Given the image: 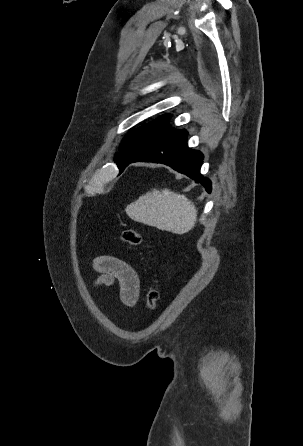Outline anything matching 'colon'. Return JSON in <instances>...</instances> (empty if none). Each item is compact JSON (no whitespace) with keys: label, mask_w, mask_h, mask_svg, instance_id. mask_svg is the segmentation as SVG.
<instances>
[{"label":"colon","mask_w":303,"mask_h":446,"mask_svg":"<svg viewBox=\"0 0 303 446\" xmlns=\"http://www.w3.org/2000/svg\"><path fill=\"white\" fill-rule=\"evenodd\" d=\"M121 239L124 243L130 246H138L142 242L141 235L133 229H125L121 234ZM159 301V290L157 281L155 280L149 287L146 294V306L153 310L156 308Z\"/></svg>","instance_id":"colon-1"}]
</instances>
